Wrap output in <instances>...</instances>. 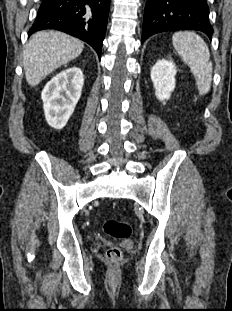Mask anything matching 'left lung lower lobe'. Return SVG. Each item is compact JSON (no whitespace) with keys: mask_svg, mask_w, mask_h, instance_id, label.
Instances as JSON below:
<instances>
[{"mask_svg":"<svg viewBox=\"0 0 232 311\" xmlns=\"http://www.w3.org/2000/svg\"><path fill=\"white\" fill-rule=\"evenodd\" d=\"M205 0H149L145 7L143 43L151 35L174 30H199L212 37Z\"/></svg>","mask_w":232,"mask_h":311,"instance_id":"obj_1","label":"left lung lower lobe"}]
</instances>
